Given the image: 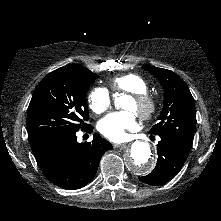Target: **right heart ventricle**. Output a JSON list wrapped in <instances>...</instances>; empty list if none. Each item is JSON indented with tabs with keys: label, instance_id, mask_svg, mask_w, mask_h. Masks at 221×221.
I'll return each mask as SVG.
<instances>
[{
	"label": "right heart ventricle",
	"instance_id": "e07e8e85",
	"mask_svg": "<svg viewBox=\"0 0 221 221\" xmlns=\"http://www.w3.org/2000/svg\"><path fill=\"white\" fill-rule=\"evenodd\" d=\"M110 86L115 92H129V93H147L148 84L138 74H124L114 77L110 81Z\"/></svg>",
	"mask_w": 221,
	"mask_h": 221
}]
</instances>
